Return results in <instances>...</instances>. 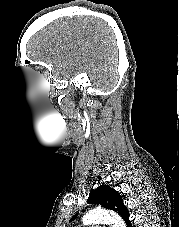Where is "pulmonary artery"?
I'll list each match as a JSON object with an SVG mask.
<instances>
[{
    "instance_id": "obj_1",
    "label": "pulmonary artery",
    "mask_w": 179,
    "mask_h": 227,
    "mask_svg": "<svg viewBox=\"0 0 179 227\" xmlns=\"http://www.w3.org/2000/svg\"><path fill=\"white\" fill-rule=\"evenodd\" d=\"M91 227H104V226L95 224V225H93V226H91Z\"/></svg>"
}]
</instances>
